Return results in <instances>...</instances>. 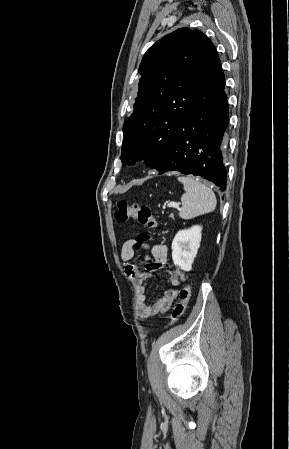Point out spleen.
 Masks as SVG:
<instances>
[{
  "instance_id": "1",
  "label": "spleen",
  "mask_w": 289,
  "mask_h": 449,
  "mask_svg": "<svg viewBox=\"0 0 289 449\" xmlns=\"http://www.w3.org/2000/svg\"><path fill=\"white\" fill-rule=\"evenodd\" d=\"M178 181L183 184L185 190L179 212L182 219H192L215 210L216 196L209 187L190 176H180Z\"/></svg>"
}]
</instances>
